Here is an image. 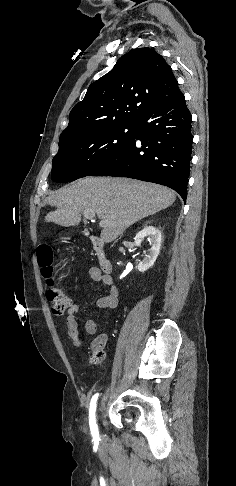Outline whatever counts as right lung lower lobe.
Wrapping results in <instances>:
<instances>
[{
  "mask_svg": "<svg viewBox=\"0 0 236 486\" xmlns=\"http://www.w3.org/2000/svg\"><path fill=\"white\" fill-rule=\"evenodd\" d=\"M184 95L155 105L135 122L134 140L88 176L129 177L158 183L187 198L192 140V116Z\"/></svg>",
  "mask_w": 236,
  "mask_h": 486,
  "instance_id": "right-lung-lower-lobe-1",
  "label": "right lung lower lobe"
}]
</instances>
